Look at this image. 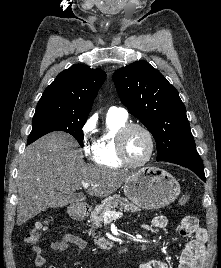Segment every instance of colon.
Returning a JSON list of instances; mask_svg holds the SVG:
<instances>
[{
  "mask_svg": "<svg viewBox=\"0 0 221 268\" xmlns=\"http://www.w3.org/2000/svg\"><path fill=\"white\" fill-rule=\"evenodd\" d=\"M189 199L190 198L187 195L181 196L179 198V204L186 205ZM47 224H48V221L37 222L26 234L25 242L30 245L37 244L41 240L43 232L45 231Z\"/></svg>",
  "mask_w": 221,
  "mask_h": 268,
  "instance_id": "5ec220e1",
  "label": "colon"
}]
</instances>
